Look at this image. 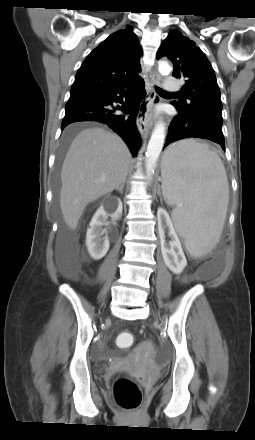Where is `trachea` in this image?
Returning <instances> with one entry per match:
<instances>
[{"mask_svg":"<svg viewBox=\"0 0 255 440\" xmlns=\"http://www.w3.org/2000/svg\"><path fill=\"white\" fill-rule=\"evenodd\" d=\"M156 90H157V92L159 93V94H165V95H179V93H177V92H172V93H170V92H167V91H165V90H163V89H160V88H158V87H156Z\"/></svg>","mask_w":255,"mask_h":440,"instance_id":"1","label":"trachea"}]
</instances>
